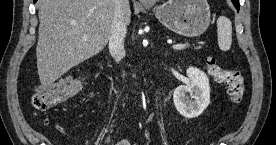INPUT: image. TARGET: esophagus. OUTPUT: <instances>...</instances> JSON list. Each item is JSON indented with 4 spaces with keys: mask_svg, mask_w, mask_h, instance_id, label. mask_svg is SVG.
<instances>
[{
    "mask_svg": "<svg viewBox=\"0 0 276 145\" xmlns=\"http://www.w3.org/2000/svg\"><path fill=\"white\" fill-rule=\"evenodd\" d=\"M139 2H140L141 4H144V5H147V4H151V3H152L151 0H139Z\"/></svg>",
    "mask_w": 276,
    "mask_h": 145,
    "instance_id": "1",
    "label": "esophagus"
}]
</instances>
